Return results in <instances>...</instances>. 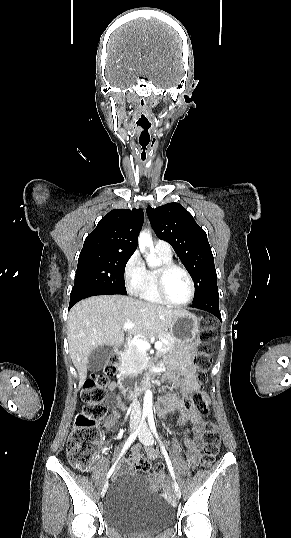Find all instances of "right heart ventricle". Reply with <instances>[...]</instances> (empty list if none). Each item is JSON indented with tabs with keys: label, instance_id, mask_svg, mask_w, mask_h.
<instances>
[{
	"label": "right heart ventricle",
	"instance_id": "e07e8e85",
	"mask_svg": "<svg viewBox=\"0 0 291 538\" xmlns=\"http://www.w3.org/2000/svg\"><path fill=\"white\" fill-rule=\"evenodd\" d=\"M155 254L161 260L162 264L172 263V256H166L157 251H155ZM155 273H156V269H148V270L146 269L144 283L139 292V296L144 301L155 303V304H162L164 302L159 297L156 290Z\"/></svg>",
	"mask_w": 291,
	"mask_h": 538
}]
</instances>
